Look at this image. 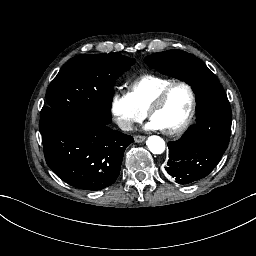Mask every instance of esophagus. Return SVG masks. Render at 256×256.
Wrapping results in <instances>:
<instances>
[{"instance_id": "34e87169", "label": "esophagus", "mask_w": 256, "mask_h": 256, "mask_svg": "<svg viewBox=\"0 0 256 256\" xmlns=\"http://www.w3.org/2000/svg\"><path fill=\"white\" fill-rule=\"evenodd\" d=\"M145 139H146L145 136H141V135H136V136H134V141H135L136 143H141V142H143Z\"/></svg>"}]
</instances>
